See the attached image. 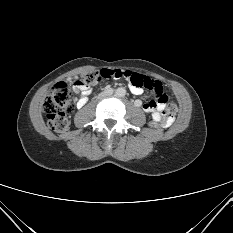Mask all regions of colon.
I'll use <instances>...</instances> for the list:
<instances>
[{"mask_svg": "<svg viewBox=\"0 0 233 233\" xmlns=\"http://www.w3.org/2000/svg\"><path fill=\"white\" fill-rule=\"evenodd\" d=\"M108 73H114L116 76H108ZM105 74L107 76L103 78L102 76ZM107 78H127L134 87L152 90L154 92L153 101L156 104H163V113L168 118L173 117L178 111L177 104L168 100L160 82L138 73L111 69L92 70L84 73L79 82L84 86H90ZM74 103V97L66 83L60 82L53 86L44 104L48 125L53 131L62 133L69 129V113L73 110ZM150 125L153 128H159L162 125L164 126V121L158 117H153Z\"/></svg>", "mask_w": 233, "mask_h": 233, "instance_id": "5ec220e1", "label": "colon"}]
</instances>
